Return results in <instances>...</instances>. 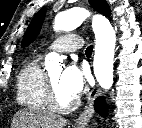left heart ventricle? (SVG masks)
Here are the masks:
<instances>
[{
	"mask_svg": "<svg viewBox=\"0 0 142 128\" xmlns=\"http://www.w3.org/2000/svg\"><path fill=\"white\" fill-rule=\"evenodd\" d=\"M62 75V70L58 69L52 73H50V78L52 80V83L55 87V90L57 92V97H58V101L61 104H67L72 98L73 96H71L70 94H68L60 85V78Z\"/></svg>",
	"mask_w": 142,
	"mask_h": 128,
	"instance_id": "left-heart-ventricle-1",
	"label": "left heart ventricle"
}]
</instances>
